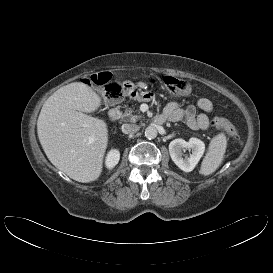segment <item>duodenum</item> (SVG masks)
I'll use <instances>...</instances> for the list:
<instances>
[{
	"mask_svg": "<svg viewBox=\"0 0 273 273\" xmlns=\"http://www.w3.org/2000/svg\"><path fill=\"white\" fill-rule=\"evenodd\" d=\"M108 116L111 121H117L120 118L121 114L117 107H113L110 109ZM164 121H165V118L162 115L157 116L154 119V122L157 124L163 123Z\"/></svg>",
	"mask_w": 273,
	"mask_h": 273,
	"instance_id": "410a0bca",
	"label": "duodenum"
}]
</instances>
